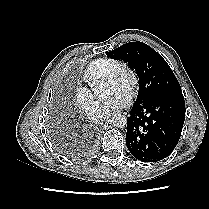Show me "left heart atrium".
Listing matches in <instances>:
<instances>
[{
  "instance_id": "39dd6f15",
  "label": "left heart atrium",
  "mask_w": 209,
  "mask_h": 209,
  "mask_svg": "<svg viewBox=\"0 0 209 209\" xmlns=\"http://www.w3.org/2000/svg\"><path fill=\"white\" fill-rule=\"evenodd\" d=\"M130 98L127 93L116 91L111 99H109L102 108V114L108 115L117 110L126 107L129 104Z\"/></svg>"
}]
</instances>
